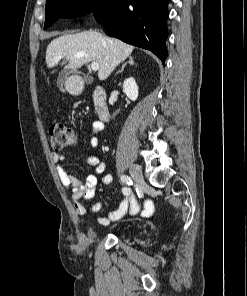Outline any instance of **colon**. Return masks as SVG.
Instances as JSON below:
<instances>
[{
	"label": "colon",
	"mask_w": 247,
	"mask_h": 296,
	"mask_svg": "<svg viewBox=\"0 0 247 296\" xmlns=\"http://www.w3.org/2000/svg\"><path fill=\"white\" fill-rule=\"evenodd\" d=\"M49 136L51 147L56 151L70 147L76 142L75 131L60 121H54L50 125Z\"/></svg>",
	"instance_id": "colon-1"
}]
</instances>
